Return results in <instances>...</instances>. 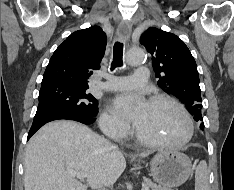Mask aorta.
<instances>
[{
  "instance_id": "762f6f07",
  "label": "aorta",
  "mask_w": 234,
  "mask_h": 190,
  "mask_svg": "<svg viewBox=\"0 0 234 190\" xmlns=\"http://www.w3.org/2000/svg\"><path fill=\"white\" fill-rule=\"evenodd\" d=\"M146 58L145 51L142 48H132L127 52L126 62L130 66L141 64Z\"/></svg>"
}]
</instances>
